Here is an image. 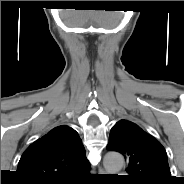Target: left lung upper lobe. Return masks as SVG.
Instances as JSON below:
<instances>
[{
    "label": "left lung upper lobe",
    "mask_w": 184,
    "mask_h": 184,
    "mask_svg": "<svg viewBox=\"0 0 184 184\" xmlns=\"http://www.w3.org/2000/svg\"><path fill=\"white\" fill-rule=\"evenodd\" d=\"M107 149L125 157L129 183L170 184L173 179L164 147L131 121L120 120L112 127Z\"/></svg>",
    "instance_id": "5c2ea615"
}]
</instances>
